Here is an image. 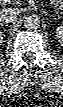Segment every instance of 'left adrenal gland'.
<instances>
[{
  "label": "left adrenal gland",
  "instance_id": "a2214340",
  "mask_svg": "<svg viewBox=\"0 0 63 107\" xmlns=\"http://www.w3.org/2000/svg\"><path fill=\"white\" fill-rule=\"evenodd\" d=\"M55 13H56V14H58L59 12H58V11H56Z\"/></svg>",
  "mask_w": 63,
  "mask_h": 107
}]
</instances>
